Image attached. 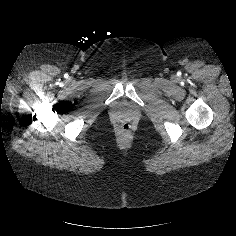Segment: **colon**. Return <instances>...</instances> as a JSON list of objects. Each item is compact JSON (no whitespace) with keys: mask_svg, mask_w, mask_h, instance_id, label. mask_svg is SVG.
<instances>
[{"mask_svg":"<svg viewBox=\"0 0 236 236\" xmlns=\"http://www.w3.org/2000/svg\"><path fill=\"white\" fill-rule=\"evenodd\" d=\"M132 127L130 123L124 122L120 126V130L123 134H128L131 131Z\"/></svg>","mask_w":236,"mask_h":236,"instance_id":"obj_1","label":"colon"}]
</instances>
